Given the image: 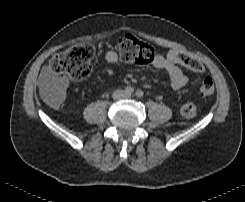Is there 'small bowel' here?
Listing matches in <instances>:
<instances>
[{
    "mask_svg": "<svg viewBox=\"0 0 245 202\" xmlns=\"http://www.w3.org/2000/svg\"><path fill=\"white\" fill-rule=\"evenodd\" d=\"M178 52L176 49H171L167 54L157 53V57L151 62L154 68L167 72L170 85L175 90L183 88L188 82L187 76L177 65L176 55ZM104 60L108 65H114L119 60L118 53L114 50H108L104 54ZM52 87H60L68 93L71 85L67 79L54 76L47 67H44L40 89L45 91Z\"/></svg>",
    "mask_w": 245,
    "mask_h": 202,
    "instance_id": "1",
    "label": "small bowel"
}]
</instances>
